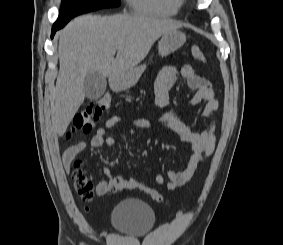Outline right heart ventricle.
I'll return each instance as SVG.
<instances>
[{"mask_svg":"<svg viewBox=\"0 0 283 245\" xmlns=\"http://www.w3.org/2000/svg\"><path fill=\"white\" fill-rule=\"evenodd\" d=\"M129 8L137 13L171 17L177 15L182 0H126Z\"/></svg>","mask_w":283,"mask_h":245,"instance_id":"1","label":"right heart ventricle"}]
</instances>
